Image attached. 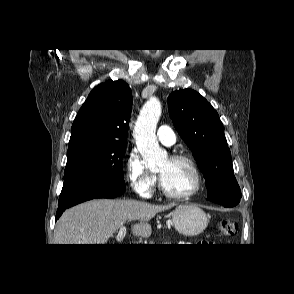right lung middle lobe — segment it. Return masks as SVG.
I'll list each match as a JSON object with an SVG mask.
<instances>
[{"instance_id": "dd1d6c3e", "label": "right lung middle lobe", "mask_w": 294, "mask_h": 294, "mask_svg": "<svg viewBox=\"0 0 294 294\" xmlns=\"http://www.w3.org/2000/svg\"><path fill=\"white\" fill-rule=\"evenodd\" d=\"M124 144L81 142L69 145L62 190L87 182L124 185Z\"/></svg>"}]
</instances>
